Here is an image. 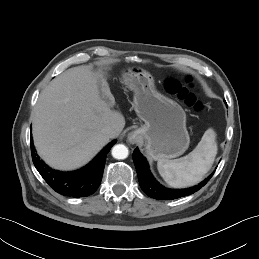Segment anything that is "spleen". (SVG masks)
Returning <instances> with one entry per match:
<instances>
[{"instance_id":"1","label":"spleen","mask_w":259,"mask_h":259,"mask_svg":"<svg viewBox=\"0 0 259 259\" xmlns=\"http://www.w3.org/2000/svg\"><path fill=\"white\" fill-rule=\"evenodd\" d=\"M216 154V133L209 128L192 152L174 160L160 159L157 168L168 185L178 188L188 187L202 180L211 169Z\"/></svg>"}]
</instances>
